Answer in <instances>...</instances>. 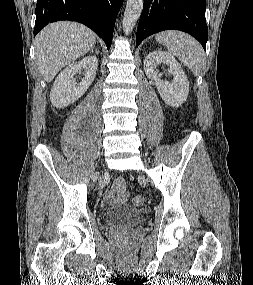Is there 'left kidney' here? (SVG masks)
<instances>
[{
	"label": "left kidney",
	"mask_w": 253,
	"mask_h": 285,
	"mask_svg": "<svg viewBox=\"0 0 253 285\" xmlns=\"http://www.w3.org/2000/svg\"><path fill=\"white\" fill-rule=\"evenodd\" d=\"M165 64L172 73L171 82L161 79L157 66ZM144 71L149 79L155 81L162 100L172 107L181 106L189 94V81L177 60L164 51H153L144 60Z\"/></svg>",
	"instance_id": "left-kidney-1"
}]
</instances>
